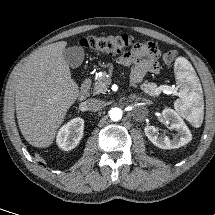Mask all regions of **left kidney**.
Segmentation results:
<instances>
[{
    "label": "left kidney",
    "instance_id": "1",
    "mask_svg": "<svg viewBox=\"0 0 215 215\" xmlns=\"http://www.w3.org/2000/svg\"><path fill=\"white\" fill-rule=\"evenodd\" d=\"M163 120L169 124L172 130L177 131V136L170 139L168 136H160L157 129L152 125L144 128L147 138L158 148L174 149L186 145L192 140V135L183 119L173 109H164L162 112Z\"/></svg>",
    "mask_w": 215,
    "mask_h": 215
}]
</instances>
